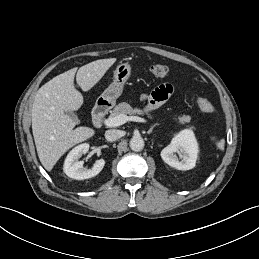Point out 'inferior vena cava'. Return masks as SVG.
<instances>
[{"instance_id":"602c4592","label":"inferior vena cava","mask_w":259,"mask_h":259,"mask_svg":"<svg viewBox=\"0 0 259 259\" xmlns=\"http://www.w3.org/2000/svg\"><path fill=\"white\" fill-rule=\"evenodd\" d=\"M121 131L116 129H110L105 132V138L107 141H115L121 137Z\"/></svg>"}]
</instances>
